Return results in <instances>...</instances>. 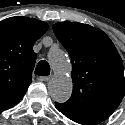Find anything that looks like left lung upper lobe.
<instances>
[{
  "instance_id": "left-lung-upper-lobe-1",
  "label": "left lung upper lobe",
  "mask_w": 125,
  "mask_h": 125,
  "mask_svg": "<svg viewBox=\"0 0 125 125\" xmlns=\"http://www.w3.org/2000/svg\"><path fill=\"white\" fill-rule=\"evenodd\" d=\"M53 31L72 60L73 91L63 111H114L125 95L123 63L110 38L101 30L77 22H60Z\"/></svg>"
}]
</instances>
